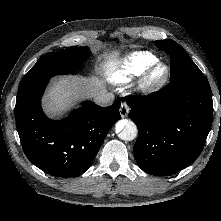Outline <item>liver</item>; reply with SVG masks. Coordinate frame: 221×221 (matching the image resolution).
<instances>
[{"label":"liver","instance_id":"6515ba94","mask_svg":"<svg viewBox=\"0 0 221 221\" xmlns=\"http://www.w3.org/2000/svg\"><path fill=\"white\" fill-rule=\"evenodd\" d=\"M105 93V87L98 78L65 77L50 87L44 100V108L53 117H59L69 109L74 100L83 97H97Z\"/></svg>","mask_w":221,"mask_h":221}]
</instances>
